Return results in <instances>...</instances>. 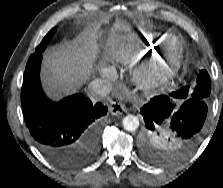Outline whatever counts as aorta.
Here are the masks:
<instances>
[{"label": "aorta", "mask_w": 223, "mask_h": 188, "mask_svg": "<svg viewBox=\"0 0 223 188\" xmlns=\"http://www.w3.org/2000/svg\"><path fill=\"white\" fill-rule=\"evenodd\" d=\"M123 127H124L125 130H127L129 132L136 131L139 127L138 117L134 116V115H131V114L127 115L123 119Z\"/></svg>", "instance_id": "obj_1"}]
</instances>
